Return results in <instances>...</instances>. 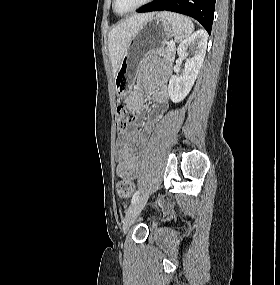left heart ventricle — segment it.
Masks as SVG:
<instances>
[{"label": "left heart ventricle", "mask_w": 280, "mask_h": 285, "mask_svg": "<svg viewBox=\"0 0 280 285\" xmlns=\"http://www.w3.org/2000/svg\"><path fill=\"white\" fill-rule=\"evenodd\" d=\"M142 1L143 0H117V9L120 12H126L137 6Z\"/></svg>", "instance_id": "obj_1"}]
</instances>
